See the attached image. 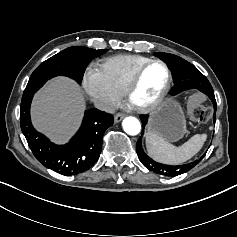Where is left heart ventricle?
<instances>
[{
	"instance_id": "obj_1",
	"label": "left heart ventricle",
	"mask_w": 237,
	"mask_h": 237,
	"mask_svg": "<svg viewBox=\"0 0 237 237\" xmlns=\"http://www.w3.org/2000/svg\"><path fill=\"white\" fill-rule=\"evenodd\" d=\"M166 77V71L160 64L149 66L134 94V101L139 105L152 101L164 87Z\"/></svg>"
}]
</instances>
